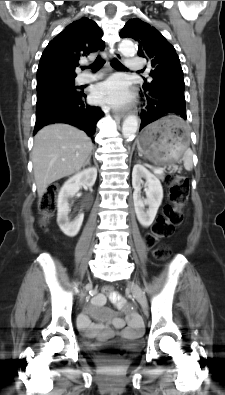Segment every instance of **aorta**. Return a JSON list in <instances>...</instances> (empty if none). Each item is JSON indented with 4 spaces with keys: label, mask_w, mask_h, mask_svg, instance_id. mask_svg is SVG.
I'll return each mask as SVG.
<instances>
[{
    "label": "aorta",
    "mask_w": 225,
    "mask_h": 395,
    "mask_svg": "<svg viewBox=\"0 0 225 395\" xmlns=\"http://www.w3.org/2000/svg\"><path fill=\"white\" fill-rule=\"evenodd\" d=\"M119 51L124 56H133L136 54L137 49L134 44L129 40H123L119 44ZM138 130V118L134 115L128 116L122 125V134L124 138H134Z\"/></svg>",
    "instance_id": "obj_1"
}]
</instances>
